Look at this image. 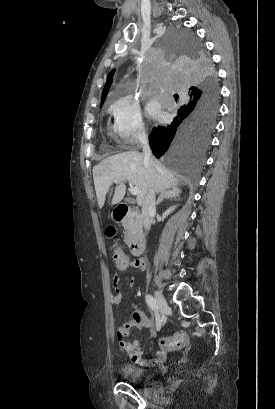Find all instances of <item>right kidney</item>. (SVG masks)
I'll use <instances>...</instances> for the list:
<instances>
[{
	"label": "right kidney",
	"mask_w": 275,
	"mask_h": 409,
	"mask_svg": "<svg viewBox=\"0 0 275 409\" xmlns=\"http://www.w3.org/2000/svg\"><path fill=\"white\" fill-rule=\"evenodd\" d=\"M175 207H170V209H167V211H165V213H163V217L162 219H166L167 215H170V213H172V211H174Z\"/></svg>",
	"instance_id": "obj_1"
}]
</instances>
